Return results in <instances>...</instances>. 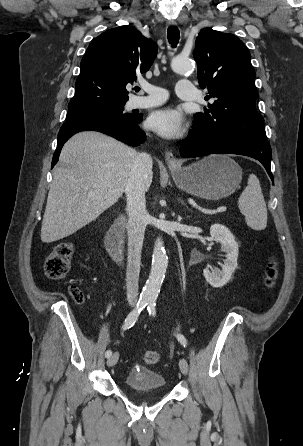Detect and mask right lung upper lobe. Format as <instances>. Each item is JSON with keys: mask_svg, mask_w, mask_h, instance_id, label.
Listing matches in <instances>:
<instances>
[{"mask_svg": "<svg viewBox=\"0 0 303 446\" xmlns=\"http://www.w3.org/2000/svg\"><path fill=\"white\" fill-rule=\"evenodd\" d=\"M157 44L131 26L109 29L95 38L81 60L75 97L68 109L91 110L125 104L127 84L149 70Z\"/></svg>", "mask_w": 303, "mask_h": 446, "instance_id": "right-lung-upper-lobe-1", "label": "right lung upper lobe"}]
</instances>
